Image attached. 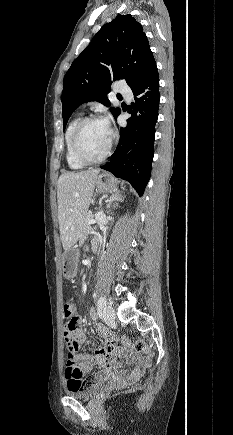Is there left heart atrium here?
I'll return each mask as SVG.
<instances>
[{"instance_id": "obj_1", "label": "left heart atrium", "mask_w": 233, "mask_h": 435, "mask_svg": "<svg viewBox=\"0 0 233 435\" xmlns=\"http://www.w3.org/2000/svg\"><path fill=\"white\" fill-rule=\"evenodd\" d=\"M104 123L107 126V128L110 130V123H109L108 119H104Z\"/></svg>"}]
</instances>
